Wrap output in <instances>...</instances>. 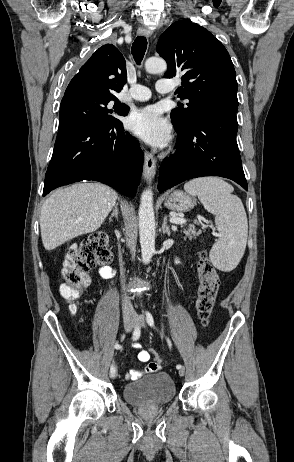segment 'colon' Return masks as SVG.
<instances>
[{
    "mask_svg": "<svg viewBox=\"0 0 294 462\" xmlns=\"http://www.w3.org/2000/svg\"><path fill=\"white\" fill-rule=\"evenodd\" d=\"M111 260L112 253L108 248L107 236L104 234L93 235L78 245L70 247L62 267L63 283L60 287L62 297L68 301L78 299L88 285L87 273L97 265L109 264ZM197 271L199 287L196 308L202 324L207 325L214 308L220 279L205 252L200 254ZM76 309L75 305L71 306L72 312H76ZM150 354L155 361H159L156 351L151 350Z\"/></svg>",
    "mask_w": 294,
    "mask_h": 462,
    "instance_id": "obj_1",
    "label": "colon"
}]
</instances>
